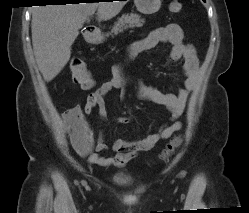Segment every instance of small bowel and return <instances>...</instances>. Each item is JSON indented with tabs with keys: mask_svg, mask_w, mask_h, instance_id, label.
Wrapping results in <instances>:
<instances>
[{
	"mask_svg": "<svg viewBox=\"0 0 249 213\" xmlns=\"http://www.w3.org/2000/svg\"><path fill=\"white\" fill-rule=\"evenodd\" d=\"M161 43L171 45V60L182 59L184 61L180 68V74L184 81L176 93H165L140 81L136 83V91L140 98L153 101L170 112L169 122L163 124L157 132H150L141 139H115L111 147L115 154L111 157L101 154L109 150L105 135L101 133L95 151L92 150V129L85 118V114H89L96 109L101 120L106 118V95L115 89H120L122 92L125 90L126 79L120 66H116L112 76L87 96L83 107L74 106L64 113L66 128L69 132L72 129L76 130L78 135V138H76L70 134L73 148L80 155L87 157L90 163L105 167H122L136 158L139 153L151 150L159 141L170 138L175 132L182 129L183 124L179 118L184 113L189 94L197 83L200 63L195 48L184 42V33L181 27L177 24H167L148 33L128 48L127 59L131 60L140 53ZM132 120L133 117H121L118 119V123L126 124Z\"/></svg>",
	"mask_w": 249,
	"mask_h": 213,
	"instance_id": "small-bowel-1",
	"label": "small bowel"
}]
</instances>
